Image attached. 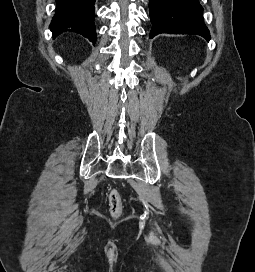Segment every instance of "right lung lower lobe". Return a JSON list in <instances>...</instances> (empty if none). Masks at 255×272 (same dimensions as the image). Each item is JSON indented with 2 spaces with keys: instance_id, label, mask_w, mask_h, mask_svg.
Listing matches in <instances>:
<instances>
[{
  "instance_id": "obj_1",
  "label": "right lung lower lobe",
  "mask_w": 255,
  "mask_h": 272,
  "mask_svg": "<svg viewBox=\"0 0 255 272\" xmlns=\"http://www.w3.org/2000/svg\"><path fill=\"white\" fill-rule=\"evenodd\" d=\"M55 15L50 28L53 36L63 32H75L96 43L93 16L95 0H56Z\"/></svg>"
}]
</instances>
